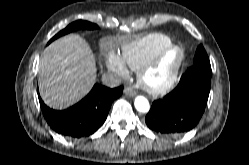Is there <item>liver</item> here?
Instances as JSON below:
<instances>
[{
  "mask_svg": "<svg viewBox=\"0 0 249 165\" xmlns=\"http://www.w3.org/2000/svg\"><path fill=\"white\" fill-rule=\"evenodd\" d=\"M96 63L88 43L76 34L53 41L39 64V91L53 109L68 108L85 97L96 80Z\"/></svg>",
  "mask_w": 249,
  "mask_h": 165,
  "instance_id": "1",
  "label": "liver"
}]
</instances>
